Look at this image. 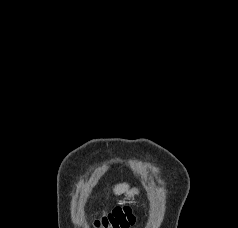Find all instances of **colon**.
<instances>
[{
  "instance_id": "colon-1",
  "label": "colon",
  "mask_w": 238,
  "mask_h": 228,
  "mask_svg": "<svg viewBox=\"0 0 238 228\" xmlns=\"http://www.w3.org/2000/svg\"><path fill=\"white\" fill-rule=\"evenodd\" d=\"M135 216L128 206H117L94 221L95 228H130L135 224Z\"/></svg>"
}]
</instances>
